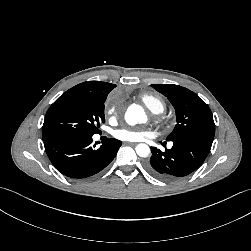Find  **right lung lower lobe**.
Masks as SVG:
<instances>
[{"mask_svg":"<svg viewBox=\"0 0 251 251\" xmlns=\"http://www.w3.org/2000/svg\"><path fill=\"white\" fill-rule=\"evenodd\" d=\"M90 136H57L44 139L54 167L67 177L86 179L103 170L116 156L121 142L108 139L97 147Z\"/></svg>","mask_w":251,"mask_h":251,"instance_id":"right-lung-lower-lobe-1","label":"right lung lower lobe"}]
</instances>
